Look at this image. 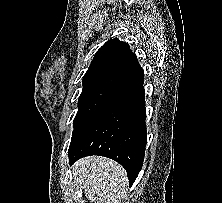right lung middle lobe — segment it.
Segmentation results:
<instances>
[{"instance_id":"1","label":"right lung middle lobe","mask_w":222,"mask_h":203,"mask_svg":"<svg viewBox=\"0 0 222 203\" xmlns=\"http://www.w3.org/2000/svg\"><path fill=\"white\" fill-rule=\"evenodd\" d=\"M113 94L101 90H83L78 103V112L74 118V128L103 105Z\"/></svg>"}]
</instances>
